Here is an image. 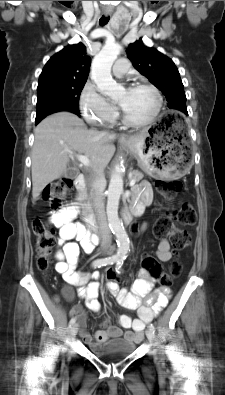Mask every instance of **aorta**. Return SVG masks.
I'll use <instances>...</instances> for the list:
<instances>
[{"label": "aorta", "mask_w": 225, "mask_h": 395, "mask_svg": "<svg viewBox=\"0 0 225 395\" xmlns=\"http://www.w3.org/2000/svg\"><path fill=\"white\" fill-rule=\"evenodd\" d=\"M121 51L117 43H107L94 57L91 69V78L97 85L98 90L105 96L113 99L120 96L123 87L118 84L111 75V67ZM123 164H117L111 175L108 191L106 214L109 227L116 237L117 252L115 257L122 261L130 250V241L127 232L119 219L118 207L121 194L123 193Z\"/></svg>", "instance_id": "aorta-1"}]
</instances>
